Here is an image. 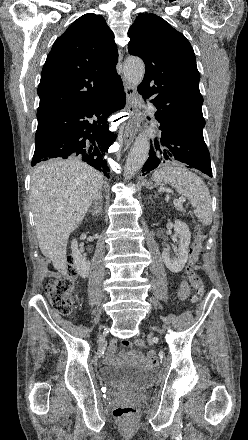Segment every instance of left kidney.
<instances>
[{"label":"left kidney","mask_w":248,"mask_h":440,"mask_svg":"<svg viewBox=\"0 0 248 440\" xmlns=\"http://www.w3.org/2000/svg\"><path fill=\"white\" fill-rule=\"evenodd\" d=\"M174 231L179 237V245L176 251V257H171L168 250L162 252V259L166 267L173 273H179L183 270L187 260L191 233L186 223L176 220Z\"/></svg>","instance_id":"obj_1"}]
</instances>
